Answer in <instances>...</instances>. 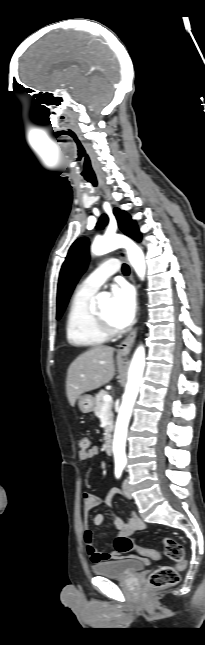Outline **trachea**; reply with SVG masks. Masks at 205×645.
I'll list each match as a JSON object with an SVG mask.
<instances>
[{
  "instance_id": "obj_1",
  "label": "trachea",
  "mask_w": 205,
  "mask_h": 645,
  "mask_svg": "<svg viewBox=\"0 0 205 645\" xmlns=\"http://www.w3.org/2000/svg\"><path fill=\"white\" fill-rule=\"evenodd\" d=\"M122 272H123V274H125V275H128V274L130 273V268H129V266H128L127 264H123V266H122Z\"/></svg>"
}]
</instances>
